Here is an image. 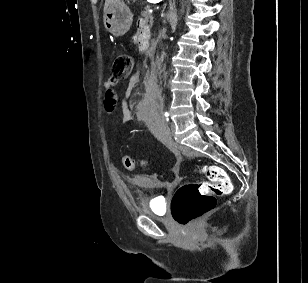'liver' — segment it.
Listing matches in <instances>:
<instances>
[{
  "label": "liver",
  "instance_id": "obj_1",
  "mask_svg": "<svg viewBox=\"0 0 308 283\" xmlns=\"http://www.w3.org/2000/svg\"><path fill=\"white\" fill-rule=\"evenodd\" d=\"M121 0H105V5H104V12L107 11V9L113 5L116 4L118 2H120Z\"/></svg>",
  "mask_w": 308,
  "mask_h": 283
}]
</instances>
